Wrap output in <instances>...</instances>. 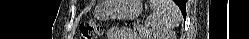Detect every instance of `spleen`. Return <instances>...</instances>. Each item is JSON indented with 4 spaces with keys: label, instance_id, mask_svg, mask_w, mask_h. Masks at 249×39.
Instances as JSON below:
<instances>
[{
    "label": "spleen",
    "instance_id": "3e777b00",
    "mask_svg": "<svg viewBox=\"0 0 249 39\" xmlns=\"http://www.w3.org/2000/svg\"><path fill=\"white\" fill-rule=\"evenodd\" d=\"M153 15L149 21L154 37L162 39L165 33L173 29L181 20V12L171 0H150Z\"/></svg>",
    "mask_w": 249,
    "mask_h": 39
}]
</instances>
